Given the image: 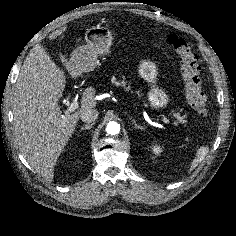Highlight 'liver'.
<instances>
[{"instance_id":"obj_1","label":"liver","mask_w":236,"mask_h":236,"mask_svg":"<svg viewBox=\"0 0 236 236\" xmlns=\"http://www.w3.org/2000/svg\"><path fill=\"white\" fill-rule=\"evenodd\" d=\"M64 29L56 30L54 39ZM72 78L87 71L62 57ZM64 72L51 60L45 49L36 44L27 55L18 76L13 96L14 136L22 155L46 181L54 177V166L72 136L83 110L94 108V88L84 91L81 107L64 114L58 105L65 89Z\"/></svg>"}]
</instances>
